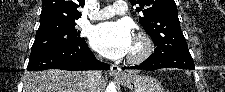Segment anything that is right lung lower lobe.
<instances>
[{
  "label": "right lung lower lobe",
  "instance_id": "obj_1",
  "mask_svg": "<svg viewBox=\"0 0 225 92\" xmlns=\"http://www.w3.org/2000/svg\"><path fill=\"white\" fill-rule=\"evenodd\" d=\"M108 70L110 66L98 61L85 40L78 44L31 51L28 70Z\"/></svg>",
  "mask_w": 225,
  "mask_h": 92
}]
</instances>
